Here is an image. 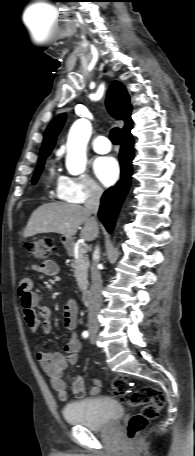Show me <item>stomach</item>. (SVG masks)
<instances>
[{
  "label": "stomach",
  "instance_id": "obj_1",
  "mask_svg": "<svg viewBox=\"0 0 195 456\" xmlns=\"http://www.w3.org/2000/svg\"><path fill=\"white\" fill-rule=\"evenodd\" d=\"M60 240H61V243L64 245V247L67 249H70L73 245L72 238H67L65 236H62Z\"/></svg>",
  "mask_w": 195,
  "mask_h": 456
}]
</instances>
